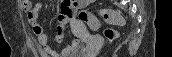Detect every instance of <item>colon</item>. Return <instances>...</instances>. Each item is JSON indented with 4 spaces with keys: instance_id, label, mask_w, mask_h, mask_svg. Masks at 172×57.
<instances>
[{
    "instance_id": "colon-1",
    "label": "colon",
    "mask_w": 172,
    "mask_h": 57,
    "mask_svg": "<svg viewBox=\"0 0 172 57\" xmlns=\"http://www.w3.org/2000/svg\"><path fill=\"white\" fill-rule=\"evenodd\" d=\"M69 14L71 16H76L79 20L87 23L91 29L95 30V29H98L100 26L98 17L93 13L87 12L85 10H79L77 12L70 10ZM98 15L102 17L109 24H112V25L122 24V19L120 15L114 10L101 9L98 11ZM105 36L109 41H113V39L115 38V32L110 28L106 29Z\"/></svg>"
}]
</instances>
